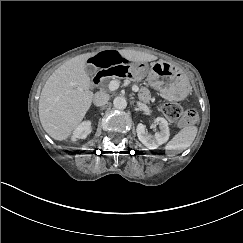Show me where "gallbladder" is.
<instances>
[{"label": "gallbladder", "instance_id": "bac80fb5", "mask_svg": "<svg viewBox=\"0 0 243 243\" xmlns=\"http://www.w3.org/2000/svg\"><path fill=\"white\" fill-rule=\"evenodd\" d=\"M97 66L96 65H92V64H87L86 65V74L88 77H93L95 72L97 71Z\"/></svg>", "mask_w": 243, "mask_h": 243}]
</instances>
